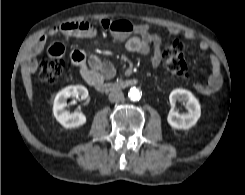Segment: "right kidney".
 I'll return each instance as SVG.
<instances>
[{
	"label": "right kidney",
	"instance_id": "ca27d5eb",
	"mask_svg": "<svg viewBox=\"0 0 245 195\" xmlns=\"http://www.w3.org/2000/svg\"><path fill=\"white\" fill-rule=\"evenodd\" d=\"M70 97L84 100L88 97V90L82 85H77L68 86L57 93L53 104V114L65 128H75L86 123V116L82 112L71 113L66 110V101Z\"/></svg>",
	"mask_w": 245,
	"mask_h": 195
}]
</instances>
